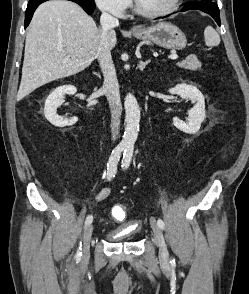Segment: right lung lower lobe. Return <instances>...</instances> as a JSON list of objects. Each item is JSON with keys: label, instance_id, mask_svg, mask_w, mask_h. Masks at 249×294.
Segmentation results:
<instances>
[{"label": "right lung lower lobe", "instance_id": "obj_1", "mask_svg": "<svg viewBox=\"0 0 249 294\" xmlns=\"http://www.w3.org/2000/svg\"><path fill=\"white\" fill-rule=\"evenodd\" d=\"M45 1H47V0L29 1L27 9H26V13H25V23H24L25 28L29 25V23H30V21L32 19L33 13L36 10V8L41 3L45 2ZM70 1H73V2H75L77 4H79L86 11V13L89 14V15H91L93 13L94 9H95V7L84 4L82 0H70Z\"/></svg>", "mask_w": 249, "mask_h": 294}]
</instances>
